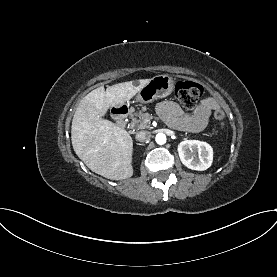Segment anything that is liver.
Listing matches in <instances>:
<instances>
[{
	"label": "liver",
	"mask_w": 277,
	"mask_h": 277,
	"mask_svg": "<svg viewBox=\"0 0 277 277\" xmlns=\"http://www.w3.org/2000/svg\"><path fill=\"white\" fill-rule=\"evenodd\" d=\"M150 79L103 86L87 94L79 103L71 127L72 146L77 156L96 174L111 180L133 175V141L130 134L102 117L110 106L129 101Z\"/></svg>",
	"instance_id": "obj_1"
}]
</instances>
